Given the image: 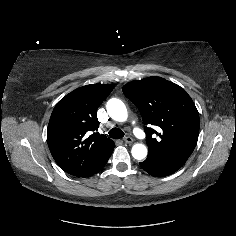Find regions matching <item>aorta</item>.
<instances>
[{"label":"aorta","instance_id":"1","mask_svg":"<svg viewBox=\"0 0 236 236\" xmlns=\"http://www.w3.org/2000/svg\"><path fill=\"white\" fill-rule=\"evenodd\" d=\"M109 116L118 122L126 121L128 112L125 104L117 98H112L107 102L106 105ZM147 148L143 144H135L132 147V156L137 160H142L147 156Z\"/></svg>","mask_w":236,"mask_h":236}]
</instances>
